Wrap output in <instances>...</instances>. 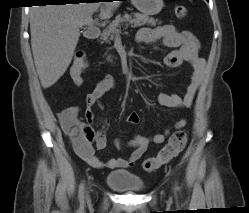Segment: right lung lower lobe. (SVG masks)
Returning a JSON list of instances; mask_svg holds the SVG:
<instances>
[{"label":"right lung lower lobe","mask_w":249,"mask_h":213,"mask_svg":"<svg viewBox=\"0 0 249 213\" xmlns=\"http://www.w3.org/2000/svg\"><path fill=\"white\" fill-rule=\"evenodd\" d=\"M79 0H46V2L55 3V4H65V3H79Z\"/></svg>","instance_id":"right-lung-lower-lobe-1"}]
</instances>
